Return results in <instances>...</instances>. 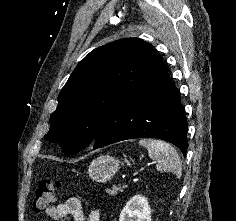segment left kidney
<instances>
[{"label":"left kidney","mask_w":236,"mask_h":221,"mask_svg":"<svg viewBox=\"0 0 236 221\" xmlns=\"http://www.w3.org/2000/svg\"><path fill=\"white\" fill-rule=\"evenodd\" d=\"M119 221H151V209L147 198L133 196L121 211Z\"/></svg>","instance_id":"1"}]
</instances>
